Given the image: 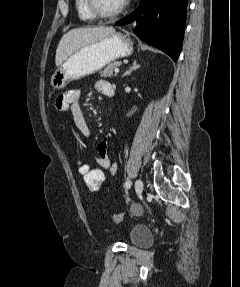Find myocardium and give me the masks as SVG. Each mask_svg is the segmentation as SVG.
Listing matches in <instances>:
<instances>
[{"label":"myocardium","instance_id":"obj_1","mask_svg":"<svg viewBox=\"0 0 240 287\" xmlns=\"http://www.w3.org/2000/svg\"><path fill=\"white\" fill-rule=\"evenodd\" d=\"M87 4L93 15L102 19H109L123 12L128 5V0H123V2L116 9L111 11L101 9L98 0H87Z\"/></svg>","mask_w":240,"mask_h":287}]
</instances>
